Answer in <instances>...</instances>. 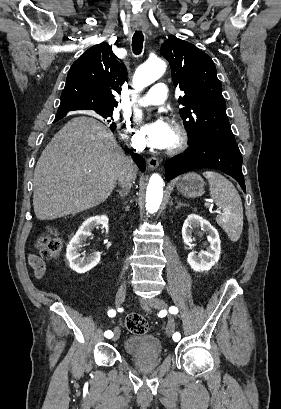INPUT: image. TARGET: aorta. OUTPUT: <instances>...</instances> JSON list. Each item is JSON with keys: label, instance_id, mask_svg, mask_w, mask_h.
Here are the masks:
<instances>
[{"label": "aorta", "instance_id": "aorta-1", "mask_svg": "<svg viewBox=\"0 0 281 409\" xmlns=\"http://www.w3.org/2000/svg\"><path fill=\"white\" fill-rule=\"evenodd\" d=\"M166 70V63L161 59H150L143 63L136 71L134 85L137 90L152 84L158 80ZM141 117L140 111L137 113ZM163 179L159 174L150 177L146 191V210L149 213L156 212L162 202Z\"/></svg>", "mask_w": 281, "mask_h": 409}]
</instances>
